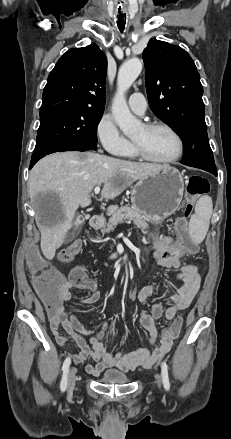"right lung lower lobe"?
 <instances>
[{
    "instance_id": "obj_1",
    "label": "right lung lower lobe",
    "mask_w": 231,
    "mask_h": 439,
    "mask_svg": "<svg viewBox=\"0 0 231 439\" xmlns=\"http://www.w3.org/2000/svg\"><path fill=\"white\" fill-rule=\"evenodd\" d=\"M60 151H87V149L78 148V147H65V148H59V149H53L49 151H42V152H34L31 158V163L29 169H31L35 163L43 158L44 156L54 153V152H60Z\"/></svg>"
}]
</instances>
